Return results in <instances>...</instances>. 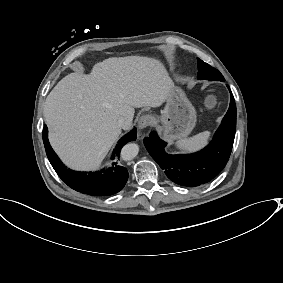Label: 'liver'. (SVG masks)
I'll return each mask as SVG.
<instances>
[{"label":"liver","mask_w":283,"mask_h":283,"mask_svg":"<svg viewBox=\"0 0 283 283\" xmlns=\"http://www.w3.org/2000/svg\"><path fill=\"white\" fill-rule=\"evenodd\" d=\"M174 85L155 60L111 58L91 75L65 76L46 98L44 117L54 149L75 169L99 167L135 108L162 106Z\"/></svg>","instance_id":"6515ba94"}]
</instances>
